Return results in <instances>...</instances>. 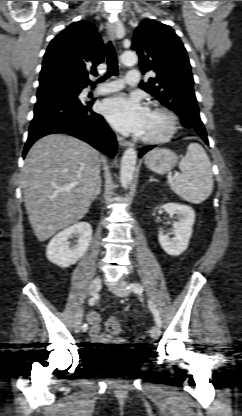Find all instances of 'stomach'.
Masks as SVG:
<instances>
[{"label": "stomach", "mask_w": 242, "mask_h": 416, "mask_svg": "<svg viewBox=\"0 0 242 416\" xmlns=\"http://www.w3.org/2000/svg\"><path fill=\"white\" fill-rule=\"evenodd\" d=\"M177 155L166 148H155L145 156V164L148 169L158 174H165L175 166Z\"/></svg>", "instance_id": "0dacf381"}]
</instances>
